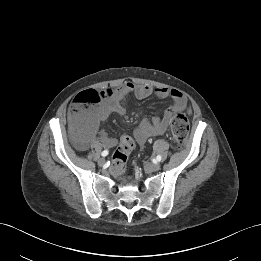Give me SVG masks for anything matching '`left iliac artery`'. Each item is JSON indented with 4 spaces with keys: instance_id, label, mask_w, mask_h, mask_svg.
I'll return each instance as SVG.
<instances>
[{
    "instance_id": "left-iliac-artery-1",
    "label": "left iliac artery",
    "mask_w": 261,
    "mask_h": 261,
    "mask_svg": "<svg viewBox=\"0 0 261 261\" xmlns=\"http://www.w3.org/2000/svg\"><path fill=\"white\" fill-rule=\"evenodd\" d=\"M161 159H162L161 155H157L156 160H157L158 162H160Z\"/></svg>"
}]
</instances>
